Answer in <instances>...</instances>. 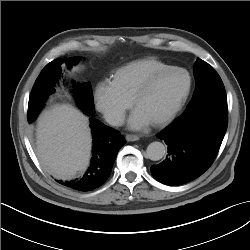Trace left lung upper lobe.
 I'll list each match as a JSON object with an SVG mask.
<instances>
[{
	"mask_svg": "<svg viewBox=\"0 0 250 250\" xmlns=\"http://www.w3.org/2000/svg\"><path fill=\"white\" fill-rule=\"evenodd\" d=\"M194 77L196 80V87L193 99L187 109L198 103L206 96L225 90L218 73L208 63L200 58H198L195 62Z\"/></svg>",
	"mask_w": 250,
	"mask_h": 250,
	"instance_id": "obj_1",
	"label": "left lung upper lobe"
}]
</instances>
